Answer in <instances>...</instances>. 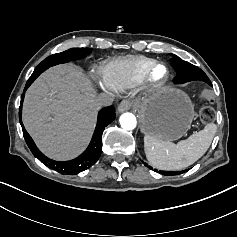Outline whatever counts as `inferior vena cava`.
I'll return each instance as SVG.
<instances>
[{
	"mask_svg": "<svg viewBox=\"0 0 237 237\" xmlns=\"http://www.w3.org/2000/svg\"><path fill=\"white\" fill-rule=\"evenodd\" d=\"M95 101L100 107H108L112 105L114 99L110 94L101 93L95 98Z\"/></svg>",
	"mask_w": 237,
	"mask_h": 237,
	"instance_id": "602c4592",
	"label": "inferior vena cava"
}]
</instances>
